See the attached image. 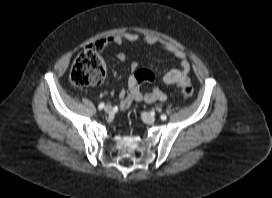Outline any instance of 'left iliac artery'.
<instances>
[{"label": "left iliac artery", "mask_w": 272, "mask_h": 198, "mask_svg": "<svg viewBox=\"0 0 272 198\" xmlns=\"http://www.w3.org/2000/svg\"><path fill=\"white\" fill-rule=\"evenodd\" d=\"M160 118H161L162 120H166V119H167V117H166L165 114H162V115L160 116Z\"/></svg>", "instance_id": "44dca946"}]
</instances>
